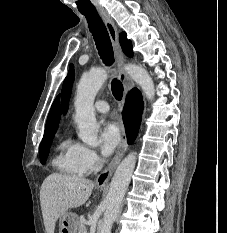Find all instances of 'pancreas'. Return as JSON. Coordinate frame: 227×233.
Segmentation results:
<instances>
[{
	"instance_id": "1",
	"label": "pancreas",
	"mask_w": 227,
	"mask_h": 233,
	"mask_svg": "<svg viewBox=\"0 0 227 233\" xmlns=\"http://www.w3.org/2000/svg\"><path fill=\"white\" fill-rule=\"evenodd\" d=\"M86 231V226L82 221L78 222V232L77 233H85Z\"/></svg>"
}]
</instances>
